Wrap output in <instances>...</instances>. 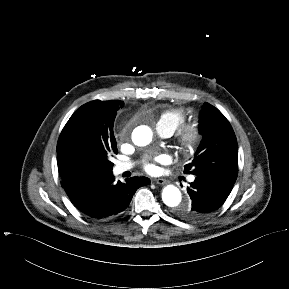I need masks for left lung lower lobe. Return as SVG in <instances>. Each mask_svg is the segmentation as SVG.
Segmentation results:
<instances>
[{
  "label": "left lung lower lobe",
  "mask_w": 289,
  "mask_h": 289,
  "mask_svg": "<svg viewBox=\"0 0 289 289\" xmlns=\"http://www.w3.org/2000/svg\"><path fill=\"white\" fill-rule=\"evenodd\" d=\"M233 185L234 182L221 177L197 176L187 187L192 204L184 214L185 218L199 220L214 212L224 203Z\"/></svg>",
  "instance_id": "0a47b994"
}]
</instances>
